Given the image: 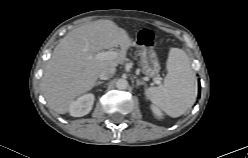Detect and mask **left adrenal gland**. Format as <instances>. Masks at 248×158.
I'll list each match as a JSON object with an SVG mask.
<instances>
[{
  "label": "left adrenal gland",
  "instance_id": "obj_1",
  "mask_svg": "<svg viewBox=\"0 0 248 158\" xmlns=\"http://www.w3.org/2000/svg\"><path fill=\"white\" fill-rule=\"evenodd\" d=\"M136 85H137V86L145 85V82L140 81L139 79H136Z\"/></svg>",
  "mask_w": 248,
  "mask_h": 158
}]
</instances>
